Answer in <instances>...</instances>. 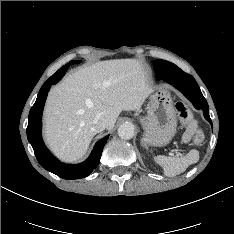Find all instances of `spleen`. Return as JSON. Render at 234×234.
Segmentation results:
<instances>
[{
    "mask_svg": "<svg viewBox=\"0 0 234 234\" xmlns=\"http://www.w3.org/2000/svg\"><path fill=\"white\" fill-rule=\"evenodd\" d=\"M198 160L199 152L197 150H191L186 156L181 158L163 155L154 157V161L163 168L164 175L168 177L179 175L184 172L188 166L196 163Z\"/></svg>",
    "mask_w": 234,
    "mask_h": 234,
    "instance_id": "obj_1",
    "label": "spleen"
}]
</instances>
